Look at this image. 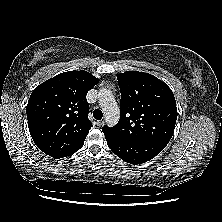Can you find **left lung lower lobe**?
Segmentation results:
<instances>
[{
  "label": "left lung lower lobe",
  "mask_w": 222,
  "mask_h": 222,
  "mask_svg": "<svg viewBox=\"0 0 222 222\" xmlns=\"http://www.w3.org/2000/svg\"><path fill=\"white\" fill-rule=\"evenodd\" d=\"M109 148L127 163L142 164L154 158L166 144L155 141H132L102 129Z\"/></svg>",
  "instance_id": "obj_1"
}]
</instances>
